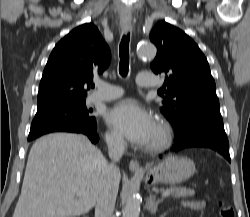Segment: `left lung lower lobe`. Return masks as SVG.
<instances>
[{"mask_svg": "<svg viewBox=\"0 0 250 217\" xmlns=\"http://www.w3.org/2000/svg\"><path fill=\"white\" fill-rule=\"evenodd\" d=\"M175 134L173 151L192 147L211 148L231 161L219 107L187 113L184 121L175 127Z\"/></svg>", "mask_w": 250, "mask_h": 217, "instance_id": "left-lung-lower-lobe-1", "label": "left lung lower lobe"}]
</instances>
